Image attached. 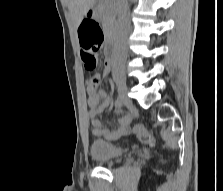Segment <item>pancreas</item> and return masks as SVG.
Masks as SVG:
<instances>
[{"label":"pancreas","instance_id":"obj_1","mask_svg":"<svg viewBox=\"0 0 223 191\" xmlns=\"http://www.w3.org/2000/svg\"><path fill=\"white\" fill-rule=\"evenodd\" d=\"M100 14L102 19V25L104 30H109L114 22V16H113V8L109 4H102L100 6Z\"/></svg>","mask_w":223,"mask_h":191}]
</instances>
